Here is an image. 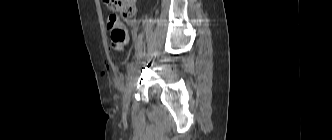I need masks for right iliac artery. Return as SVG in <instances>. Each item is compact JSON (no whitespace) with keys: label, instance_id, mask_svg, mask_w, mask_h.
I'll return each instance as SVG.
<instances>
[{"label":"right iliac artery","instance_id":"1","mask_svg":"<svg viewBox=\"0 0 332 140\" xmlns=\"http://www.w3.org/2000/svg\"><path fill=\"white\" fill-rule=\"evenodd\" d=\"M132 69H133V65L132 64H128V66H127V73H128V75L131 74Z\"/></svg>","mask_w":332,"mask_h":140}]
</instances>
